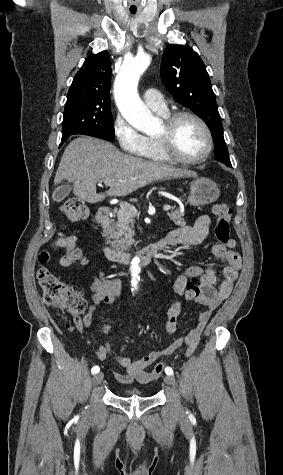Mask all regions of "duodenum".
<instances>
[{
    "label": "duodenum",
    "mask_w": 283,
    "mask_h": 475,
    "mask_svg": "<svg viewBox=\"0 0 283 475\" xmlns=\"http://www.w3.org/2000/svg\"><path fill=\"white\" fill-rule=\"evenodd\" d=\"M111 220V210L106 207H101L97 210L95 214V221L101 230V243H102V250L106 258L112 262L117 263H129L133 259L137 258L141 263L147 264L149 263L154 256L167 245L166 238L154 242L139 252L135 254L128 253L126 251L116 249L110 246L104 237V233L110 225Z\"/></svg>",
    "instance_id": "1"
}]
</instances>
